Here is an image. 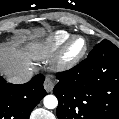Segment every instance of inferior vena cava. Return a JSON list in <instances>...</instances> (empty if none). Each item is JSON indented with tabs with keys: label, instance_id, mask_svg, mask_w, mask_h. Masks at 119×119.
Wrapping results in <instances>:
<instances>
[{
	"label": "inferior vena cava",
	"instance_id": "obj_1",
	"mask_svg": "<svg viewBox=\"0 0 119 119\" xmlns=\"http://www.w3.org/2000/svg\"><path fill=\"white\" fill-rule=\"evenodd\" d=\"M33 72L30 70H23L21 72L9 75L7 81L13 84H23L31 80Z\"/></svg>",
	"mask_w": 119,
	"mask_h": 119
}]
</instances>
